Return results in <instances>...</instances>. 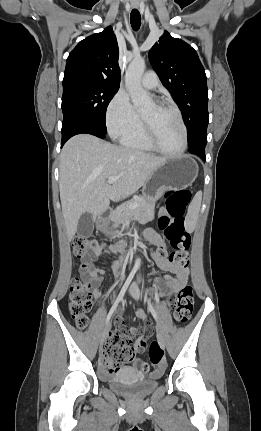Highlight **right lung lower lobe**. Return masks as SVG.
I'll return each instance as SVG.
<instances>
[{"instance_id":"obj_1","label":"right lung lower lobe","mask_w":261,"mask_h":431,"mask_svg":"<svg viewBox=\"0 0 261 431\" xmlns=\"http://www.w3.org/2000/svg\"><path fill=\"white\" fill-rule=\"evenodd\" d=\"M80 133L92 134L100 138H104L105 135L100 134L94 128L86 125L83 121L78 120L76 118H64L62 123V144L61 147L65 144V142L72 136Z\"/></svg>"}]
</instances>
